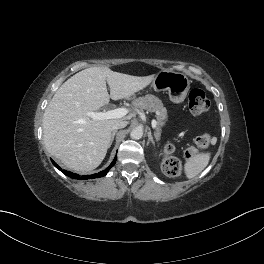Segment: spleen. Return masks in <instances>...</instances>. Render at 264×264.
Instances as JSON below:
<instances>
[{
    "label": "spleen",
    "instance_id": "spleen-1",
    "mask_svg": "<svg viewBox=\"0 0 264 264\" xmlns=\"http://www.w3.org/2000/svg\"><path fill=\"white\" fill-rule=\"evenodd\" d=\"M211 154L202 152L189 158L184 165V172L188 179L197 176L208 165Z\"/></svg>",
    "mask_w": 264,
    "mask_h": 264
}]
</instances>
